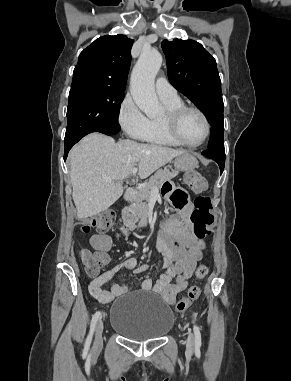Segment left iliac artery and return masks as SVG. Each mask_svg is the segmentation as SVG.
<instances>
[{"instance_id": "1", "label": "left iliac artery", "mask_w": 291, "mask_h": 381, "mask_svg": "<svg viewBox=\"0 0 291 381\" xmlns=\"http://www.w3.org/2000/svg\"><path fill=\"white\" fill-rule=\"evenodd\" d=\"M194 335H195V347L199 348L201 346V333L199 327L194 325Z\"/></svg>"}]
</instances>
